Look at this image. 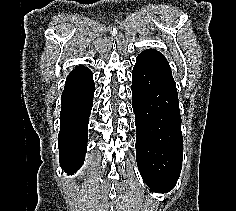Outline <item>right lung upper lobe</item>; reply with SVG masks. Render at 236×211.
Instances as JSON below:
<instances>
[{"label":"right lung upper lobe","instance_id":"right-lung-upper-lobe-1","mask_svg":"<svg viewBox=\"0 0 236 211\" xmlns=\"http://www.w3.org/2000/svg\"><path fill=\"white\" fill-rule=\"evenodd\" d=\"M83 68H85V67L79 66V67H76L74 70H79V69H83Z\"/></svg>","mask_w":236,"mask_h":211}]
</instances>
